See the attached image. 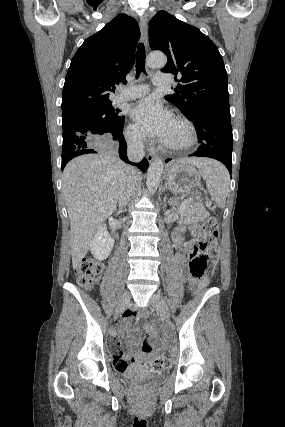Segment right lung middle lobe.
<instances>
[{
	"instance_id": "dd1d6c3e",
	"label": "right lung middle lobe",
	"mask_w": 285,
	"mask_h": 427,
	"mask_svg": "<svg viewBox=\"0 0 285 427\" xmlns=\"http://www.w3.org/2000/svg\"><path fill=\"white\" fill-rule=\"evenodd\" d=\"M119 112L120 110L112 107L111 102L62 116L63 146L76 143L71 136L78 132L97 138V143L110 140L122 129L125 120ZM99 135H104V138Z\"/></svg>"
}]
</instances>
